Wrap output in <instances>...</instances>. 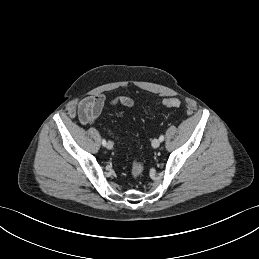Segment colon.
Segmentation results:
<instances>
[{"mask_svg":"<svg viewBox=\"0 0 259 259\" xmlns=\"http://www.w3.org/2000/svg\"><path fill=\"white\" fill-rule=\"evenodd\" d=\"M162 104L168 108H179L181 106V102L177 98H167L162 101ZM143 172H144L143 164L139 161H135L131 168V176L133 178H138L143 174Z\"/></svg>","mask_w":259,"mask_h":259,"instance_id":"colon-1","label":"colon"}]
</instances>
